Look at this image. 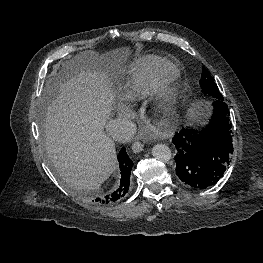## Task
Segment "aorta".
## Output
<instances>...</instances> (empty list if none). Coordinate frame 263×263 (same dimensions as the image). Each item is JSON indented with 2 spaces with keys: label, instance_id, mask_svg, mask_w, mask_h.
I'll list each match as a JSON object with an SVG mask.
<instances>
[{
  "label": "aorta",
  "instance_id": "aorta-1",
  "mask_svg": "<svg viewBox=\"0 0 263 263\" xmlns=\"http://www.w3.org/2000/svg\"><path fill=\"white\" fill-rule=\"evenodd\" d=\"M152 155L155 157V159L162 162H168L172 157L170 148L165 144L155 145L152 148Z\"/></svg>",
  "mask_w": 263,
  "mask_h": 263
}]
</instances>
